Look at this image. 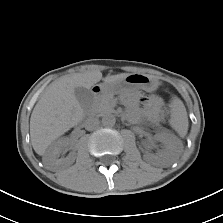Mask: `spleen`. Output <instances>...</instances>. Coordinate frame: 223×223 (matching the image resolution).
I'll return each mask as SVG.
<instances>
[{"mask_svg":"<svg viewBox=\"0 0 223 223\" xmlns=\"http://www.w3.org/2000/svg\"><path fill=\"white\" fill-rule=\"evenodd\" d=\"M172 111L173 126L180 135H184L188 128V117L186 108L180 99H173Z\"/></svg>","mask_w":223,"mask_h":223,"instance_id":"spleen-1","label":"spleen"}]
</instances>
